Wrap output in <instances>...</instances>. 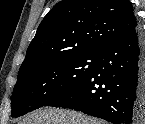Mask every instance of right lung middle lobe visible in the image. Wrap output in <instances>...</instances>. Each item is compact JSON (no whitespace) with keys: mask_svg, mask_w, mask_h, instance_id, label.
Listing matches in <instances>:
<instances>
[{"mask_svg":"<svg viewBox=\"0 0 145 124\" xmlns=\"http://www.w3.org/2000/svg\"><path fill=\"white\" fill-rule=\"evenodd\" d=\"M98 54H73L48 60L18 77L13 89L12 117L40 107L80 83L91 71Z\"/></svg>","mask_w":145,"mask_h":124,"instance_id":"dd1d6c3e","label":"right lung middle lobe"}]
</instances>
